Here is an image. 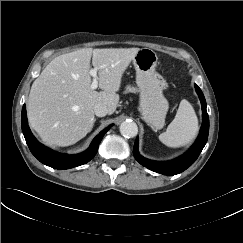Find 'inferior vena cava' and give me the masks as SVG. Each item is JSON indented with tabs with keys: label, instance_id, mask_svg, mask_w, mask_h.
I'll return each instance as SVG.
<instances>
[{
	"label": "inferior vena cava",
	"instance_id": "1",
	"mask_svg": "<svg viewBox=\"0 0 243 243\" xmlns=\"http://www.w3.org/2000/svg\"><path fill=\"white\" fill-rule=\"evenodd\" d=\"M95 115L98 117H104L108 114V108L106 105L98 103L94 106Z\"/></svg>",
	"mask_w": 243,
	"mask_h": 243
}]
</instances>
